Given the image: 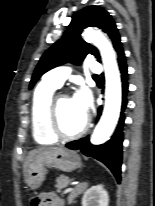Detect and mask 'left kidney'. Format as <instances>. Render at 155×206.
Listing matches in <instances>:
<instances>
[{"mask_svg":"<svg viewBox=\"0 0 155 206\" xmlns=\"http://www.w3.org/2000/svg\"><path fill=\"white\" fill-rule=\"evenodd\" d=\"M109 197L103 185L87 189L82 197V206H108Z\"/></svg>","mask_w":155,"mask_h":206,"instance_id":"obj_1","label":"left kidney"}]
</instances>
